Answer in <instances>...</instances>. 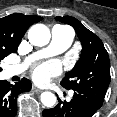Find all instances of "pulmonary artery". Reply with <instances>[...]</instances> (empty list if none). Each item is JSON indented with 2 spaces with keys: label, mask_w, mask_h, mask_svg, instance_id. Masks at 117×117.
<instances>
[{
  "label": "pulmonary artery",
  "mask_w": 117,
  "mask_h": 117,
  "mask_svg": "<svg viewBox=\"0 0 117 117\" xmlns=\"http://www.w3.org/2000/svg\"><path fill=\"white\" fill-rule=\"evenodd\" d=\"M73 36V31L70 28L59 25L54 26L52 29V40L50 45L27 58L26 63H29L39 57H46L63 52L71 45ZM23 70L24 65L10 66L7 69V73L10 76H13L21 73Z\"/></svg>",
  "instance_id": "obj_1"
}]
</instances>
